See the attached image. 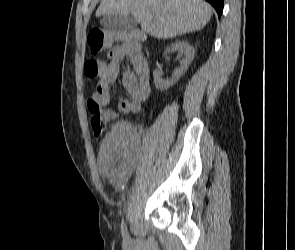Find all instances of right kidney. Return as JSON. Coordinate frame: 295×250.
<instances>
[{
    "label": "right kidney",
    "mask_w": 295,
    "mask_h": 250,
    "mask_svg": "<svg viewBox=\"0 0 295 250\" xmlns=\"http://www.w3.org/2000/svg\"><path fill=\"white\" fill-rule=\"evenodd\" d=\"M175 51L181 55H184L185 57L181 61L180 67L175 69L171 79H163L162 72L159 69H156L153 72L155 87L161 91L167 90L169 87L173 86L179 80L181 75L187 71L188 66L193 61L195 51L187 41L179 40L172 43L169 47H167L164 55Z\"/></svg>",
    "instance_id": "right-kidney-1"
}]
</instances>
